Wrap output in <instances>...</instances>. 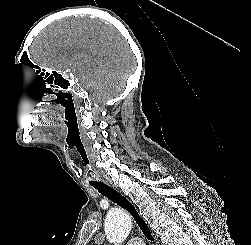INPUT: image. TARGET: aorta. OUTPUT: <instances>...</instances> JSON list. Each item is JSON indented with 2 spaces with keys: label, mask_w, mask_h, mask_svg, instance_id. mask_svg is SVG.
Instances as JSON below:
<instances>
[{
  "label": "aorta",
  "mask_w": 251,
  "mask_h": 245,
  "mask_svg": "<svg viewBox=\"0 0 251 245\" xmlns=\"http://www.w3.org/2000/svg\"><path fill=\"white\" fill-rule=\"evenodd\" d=\"M132 228L131 218L121 210H112L105 220V233L109 242L120 245Z\"/></svg>",
  "instance_id": "762f6f07"
}]
</instances>
